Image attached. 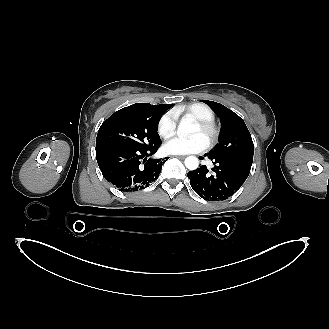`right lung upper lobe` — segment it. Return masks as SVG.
<instances>
[{
	"mask_svg": "<svg viewBox=\"0 0 329 329\" xmlns=\"http://www.w3.org/2000/svg\"><path fill=\"white\" fill-rule=\"evenodd\" d=\"M133 105H134V104H133ZM133 105L128 106V107H125V108H123V109H121V110L115 112V113L112 114V115H116V114L122 113V112H124V111H127V110H129ZM165 105H168V104H165Z\"/></svg>",
	"mask_w": 329,
	"mask_h": 329,
	"instance_id": "obj_1",
	"label": "right lung upper lobe"
}]
</instances>
